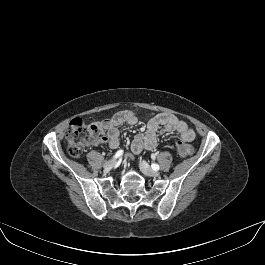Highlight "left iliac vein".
I'll use <instances>...</instances> for the list:
<instances>
[{"label": "left iliac vein", "mask_w": 265, "mask_h": 265, "mask_svg": "<svg viewBox=\"0 0 265 265\" xmlns=\"http://www.w3.org/2000/svg\"><path fill=\"white\" fill-rule=\"evenodd\" d=\"M141 171L149 177H159L160 173L158 171L153 170L146 161L140 162Z\"/></svg>", "instance_id": "1"}]
</instances>
